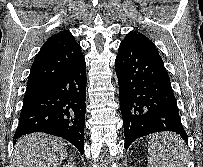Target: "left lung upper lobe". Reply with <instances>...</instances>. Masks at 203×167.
<instances>
[{
  "label": "left lung upper lobe",
  "instance_id": "obj_1",
  "mask_svg": "<svg viewBox=\"0 0 203 167\" xmlns=\"http://www.w3.org/2000/svg\"><path fill=\"white\" fill-rule=\"evenodd\" d=\"M125 40L132 41L133 43L139 45L140 47L158 54V51L156 50L155 45L146 36H144L141 33H138L136 31L130 32L125 37Z\"/></svg>",
  "mask_w": 203,
  "mask_h": 167
}]
</instances>
